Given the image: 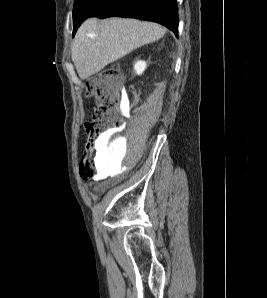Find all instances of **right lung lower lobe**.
<instances>
[{
    "instance_id": "right-lung-lower-lobe-1",
    "label": "right lung lower lobe",
    "mask_w": 267,
    "mask_h": 298,
    "mask_svg": "<svg viewBox=\"0 0 267 298\" xmlns=\"http://www.w3.org/2000/svg\"><path fill=\"white\" fill-rule=\"evenodd\" d=\"M89 17H128L153 21L178 35L176 0H101ZM79 26L74 28L73 35Z\"/></svg>"
}]
</instances>
